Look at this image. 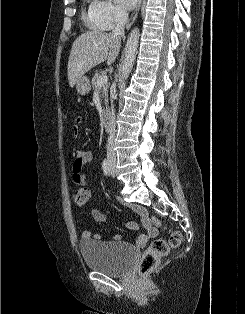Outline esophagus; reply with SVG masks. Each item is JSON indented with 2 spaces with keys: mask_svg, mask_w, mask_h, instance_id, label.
I'll list each match as a JSON object with an SVG mask.
<instances>
[{
  "mask_svg": "<svg viewBox=\"0 0 245 314\" xmlns=\"http://www.w3.org/2000/svg\"><path fill=\"white\" fill-rule=\"evenodd\" d=\"M141 4H142V0H139L134 12L130 16V18L126 24V29H129L132 26V24L135 22V20L138 16V13L140 11V8H141Z\"/></svg>",
  "mask_w": 245,
  "mask_h": 314,
  "instance_id": "1",
  "label": "esophagus"
}]
</instances>
